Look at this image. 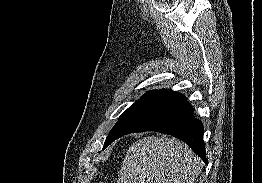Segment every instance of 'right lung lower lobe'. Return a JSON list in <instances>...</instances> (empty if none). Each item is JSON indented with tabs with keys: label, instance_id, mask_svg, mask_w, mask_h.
<instances>
[{
	"label": "right lung lower lobe",
	"instance_id": "98d812e1",
	"mask_svg": "<svg viewBox=\"0 0 262 183\" xmlns=\"http://www.w3.org/2000/svg\"><path fill=\"white\" fill-rule=\"evenodd\" d=\"M144 131H157L184 141L207 163L203 124L194 117L193 107L184 95L161 89L118 138Z\"/></svg>",
	"mask_w": 262,
	"mask_h": 183
}]
</instances>
